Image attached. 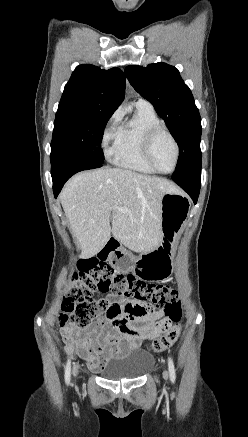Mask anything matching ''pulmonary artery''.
I'll return each instance as SVG.
<instances>
[{
    "label": "pulmonary artery",
    "instance_id": "e3ab8cb5",
    "mask_svg": "<svg viewBox=\"0 0 248 437\" xmlns=\"http://www.w3.org/2000/svg\"><path fill=\"white\" fill-rule=\"evenodd\" d=\"M136 106L144 108H152V105L145 99L139 98L135 102Z\"/></svg>",
    "mask_w": 248,
    "mask_h": 437
}]
</instances>
